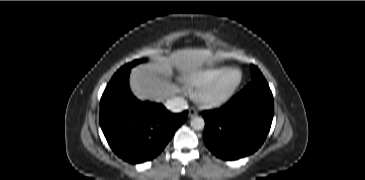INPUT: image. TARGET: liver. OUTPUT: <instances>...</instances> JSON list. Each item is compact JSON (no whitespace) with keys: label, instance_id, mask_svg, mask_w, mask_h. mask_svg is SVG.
<instances>
[{"label":"liver","instance_id":"6515ba94","mask_svg":"<svg viewBox=\"0 0 365 180\" xmlns=\"http://www.w3.org/2000/svg\"><path fill=\"white\" fill-rule=\"evenodd\" d=\"M213 61L209 49L186 48L174 51L169 56L159 58L157 63L133 68L130 76L132 92L141 100L163 102L181 91L171 82L173 69L176 68L184 78H189L199 72L204 64Z\"/></svg>","mask_w":365,"mask_h":180}]
</instances>
